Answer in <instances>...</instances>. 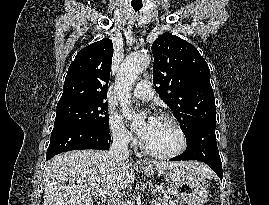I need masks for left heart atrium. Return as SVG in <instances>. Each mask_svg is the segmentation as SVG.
I'll use <instances>...</instances> for the list:
<instances>
[{"label":"left heart atrium","mask_w":269,"mask_h":205,"mask_svg":"<svg viewBox=\"0 0 269 205\" xmlns=\"http://www.w3.org/2000/svg\"><path fill=\"white\" fill-rule=\"evenodd\" d=\"M157 121V117L154 115H149L142 125L134 127L136 133L143 141H146L150 137L157 124Z\"/></svg>","instance_id":"39dd6f15"}]
</instances>
